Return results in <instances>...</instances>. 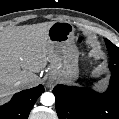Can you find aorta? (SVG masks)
<instances>
[{
	"label": "aorta",
	"mask_w": 119,
	"mask_h": 119,
	"mask_svg": "<svg viewBox=\"0 0 119 119\" xmlns=\"http://www.w3.org/2000/svg\"><path fill=\"white\" fill-rule=\"evenodd\" d=\"M55 102V96L53 93L45 92L41 95V103L44 106H51Z\"/></svg>",
	"instance_id": "1"
}]
</instances>
